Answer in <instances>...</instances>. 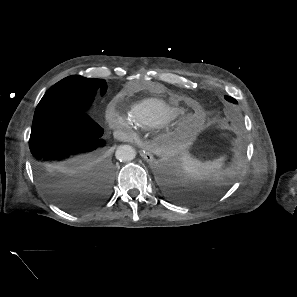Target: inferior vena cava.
Listing matches in <instances>:
<instances>
[{
    "instance_id": "inferior-vena-cava-1",
    "label": "inferior vena cava",
    "mask_w": 297,
    "mask_h": 297,
    "mask_svg": "<svg viewBox=\"0 0 297 297\" xmlns=\"http://www.w3.org/2000/svg\"><path fill=\"white\" fill-rule=\"evenodd\" d=\"M115 135L120 138V139H126L127 138V134H125L122 131H115Z\"/></svg>"
}]
</instances>
